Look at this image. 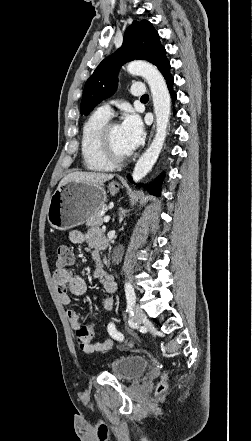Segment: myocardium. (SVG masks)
<instances>
[{"instance_id":"obj_1","label":"myocardium","mask_w":252,"mask_h":441,"mask_svg":"<svg viewBox=\"0 0 252 441\" xmlns=\"http://www.w3.org/2000/svg\"><path fill=\"white\" fill-rule=\"evenodd\" d=\"M118 125L114 121H108L101 129L98 136V150L102 158L112 165L113 167H118L123 165L129 158V155L118 156L116 155L110 145V131L112 127Z\"/></svg>"}]
</instances>
